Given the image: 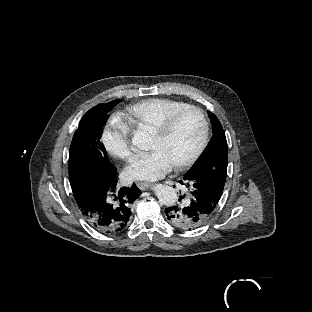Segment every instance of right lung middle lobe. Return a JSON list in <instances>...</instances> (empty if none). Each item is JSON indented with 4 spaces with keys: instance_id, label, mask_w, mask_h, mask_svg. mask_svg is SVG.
I'll return each mask as SVG.
<instances>
[{
    "instance_id": "dd1d6c3e",
    "label": "right lung middle lobe",
    "mask_w": 312,
    "mask_h": 312,
    "mask_svg": "<svg viewBox=\"0 0 312 312\" xmlns=\"http://www.w3.org/2000/svg\"><path fill=\"white\" fill-rule=\"evenodd\" d=\"M114 105L95 106L81 119L69 150V181L73 193L81 186L116 175V167L109 161L100 141L107 112Z\"/></svg>"
}]
</instances>
